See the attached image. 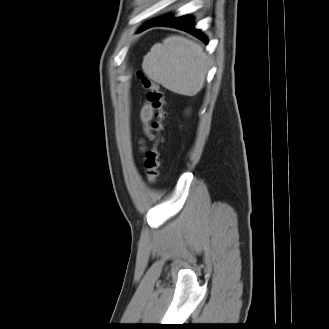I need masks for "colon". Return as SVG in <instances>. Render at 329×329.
Returning a JSON list of instances; mask_svg holds the SVG:
<instances>
[{
	"label": "colon",
	"instance_id": "5ec220e1",
	"mask_svg": "<svg viewBox=\"0 0 329 329\" xmlns=\"http://www.w3.org/2000/svg\"><path fill=\"white\" fill-rule=\"evenodd\" d=\"M138 77L143 89L147 91V100L153 110L154 119L151 123V147L145 152L144 168L147 180L154 185L159 177L160 145L163 142L165 100L159 85L143 72H138Z\"/></svg>",
	"mask_w": 329,
	"mask_h": 329
}]
</instances>
